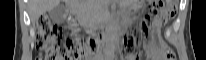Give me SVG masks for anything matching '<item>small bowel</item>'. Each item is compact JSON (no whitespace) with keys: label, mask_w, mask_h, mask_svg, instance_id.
Segmentation results:
<instances>
[{"label":"small bowel","mask_w":206,"mask_h":60,"mask_svg":"<svg viewBox=\"0 0 206 60\" xmlns=\"http://www.w3.org/2000/svg\"><path fill=\"white\" fill-rule=\"evenodd\" d=\"M156 25H157V27H159V26L161 25V21H160V20L157 21ZM155 55L158 57V59L167 60V59L162 55V53L159 52V51H155ZM126 60H138V58H136V57H134V56H128V57L126 58Z\"/></svg>","instance_id":"obj_1"}]
</instances>
